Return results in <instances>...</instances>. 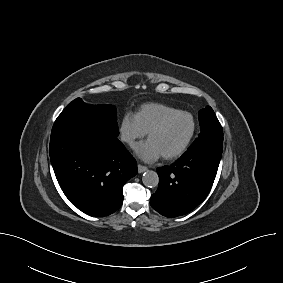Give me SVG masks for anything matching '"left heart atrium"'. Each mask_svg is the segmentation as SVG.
<instances>
[{
    "label": "left heart atrium",
    "instance_id": "left-heart-atrium-1",
    "mask_svg": "<svg viewBox=\"0 0 283 283\" xmlns=\"http://www.w3.org/2000/svg\"><path fill=\"white\" fill-rule=\"evenodd\" d=\"M135 154L141 160L149 163L158 160L162 156L159 148L150 139L136 146Z\"/></svg>",
    "mask_w": 283,
    "mask_h": 283
}]
</instances>
